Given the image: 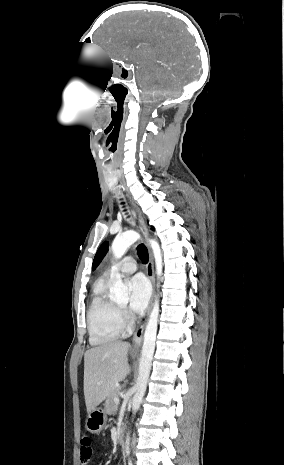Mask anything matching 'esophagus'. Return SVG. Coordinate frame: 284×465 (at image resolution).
I'll use <instances>...</instances> for the list:
<instances>
[{
  "instance_id": "obj_1",
  "label": "esophagus",
  "mask_w": 284,
  "mask_h": 465,
  "mask_svg": "<svg viewBox=\"0 0 284 465\" xmlns=\"http://www.w3.org/2000/svg\"><path fill=\"white\" fill-rule=\"evenodd\" d=\"M128 197H129V195H128ZM132 205H133L134 209L136 210V212L138 214V223H139L140 231L143 234V236L147 239V237L149 235V231H148L147 225L145 223L144 217L142 216V214H141L140 210L138 209L137 205L135 203H133V202H132ZM146 245H147V250L149 252V261L147 263L146 270H147V276L151 280L152 289H153V293H154L155 278H154L153 257H152V253H151V250L149 248L148 243ZM152 300H153V296H152V298L150 300V304H149V307H148V312H147L148 315H149V313L151 311ZM144 329H145V323H143L136 330V332L134 333L133 339H132L134 349H138L139 347H141L142 340H143Z\"/></svg>"
}]
</instances>
